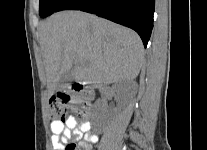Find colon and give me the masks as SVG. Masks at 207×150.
Returning a JSON list of instances; mask_svg holds the SVG:
<instances>
[{
  "instance_id": "5ec220e1",
  "label": "colon",
  "mask_w": 207,
  "mask_h": 150,
  "mask_svg": "<svg viewBox=\"0 0 207 150\" xmlns=\"http://www.w3.org/2000/svg\"><path fill=\"white\" fill-rule=\"evenodd\" d=\"M64 97L68 96L64 94ZM65 98L60 96H53L49 100L50 115L52 120L64 121L67 118V110L65 105H75V100H65ZM80 118L83 117L82 113H79ZM65 150H78L77 145L70 143L66 146Z\"/></svg>"
}]
</instances>
